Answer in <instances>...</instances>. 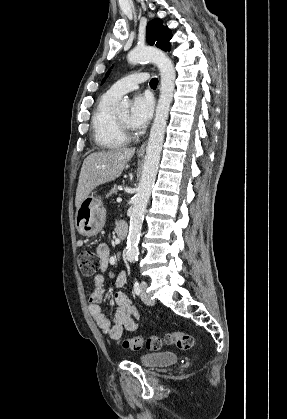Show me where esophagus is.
I'll use <instances>...</instances> for the list:
<instances>
[{
  "label": "esophagus",
  "mask_w": 287,
  "mask_h": 419,
  "mask_svg": "<svg viewBox=\"0 0 287 419\" xmlns=\"http://www.w3.org/2000/svg\"><path fill=\"white\" fill-rule=\"evenodd\" d=\"M146 144H147V142L145 141L141 146H140V148L138 149V153H140V154H143L144 152H145V149H146Z\"/></svg>",
  "instance_id": "esophagus-1"
}]
</instances>
